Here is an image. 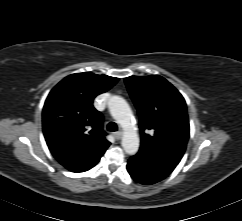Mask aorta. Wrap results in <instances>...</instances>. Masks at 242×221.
Instances as JSON below:
<instances>
[{"label":"aorta","instance_id":"1","mask_svg":"<svg viewBox=\"0 0 242 221\" xmlns=\"http://www.w3.org/2000/svg\"><path fill=\"white\" fill-rule=\"evenodd\" d=\"M112 117L123 128L122 147L129 155H134L139 149V136L133 123V114L129 104L120 96H113L109 100Z\"/></svg>","mask_w":242,"mask_h":221}]
</instances>
